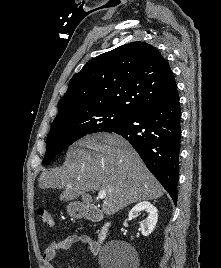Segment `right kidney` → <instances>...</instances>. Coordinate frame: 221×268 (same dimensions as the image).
Returning <instances> with one entry per match:
<instances>
[{
    "mask_svg": "<svg viewBox=\"0 0 221 268\" xmlns=\"http://www.w3.org/2000/svg\"><path fill=\"white\" fill-rule=\"evenodd\" d=\"M141 211L148 213V218L145 222L140 224V231L143 236H148L156 226L158 220V211L150 202L143 201L131 209L128 215L129 219L136 218Z\"/></svg>",
    "mask_w": 221,
    "mask_h": 268,
    "instance_id": "ca27d5eb",
    "label": "right kidney"
}]
</instances>
